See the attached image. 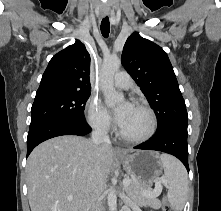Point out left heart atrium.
I'll return each instance as SVG.
<instances>
[{"instance_id": "left-heart-atrium-1", "label": "left heart atrium", "mask_w": 221, "mask_h": 211, "mask_svg": "<svg viewBox=\"0 0 221 211\" xmlns=\"http://www.w3.org/2000/svg\"><path fill=\"white\" fill-rule=\"evenodd\" d=\"M130 105L131 104L129 102H125L115 111V119L118 125L122 123Z\"/></svg>"}]
</instances>
